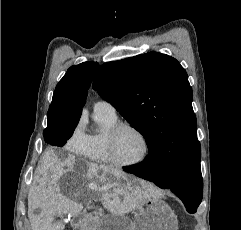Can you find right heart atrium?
<instances>
[{"instance_id": "obj_1", "label": "right heart atrium", "mask_w": 241, "mask_h": 230, "mask_svg": "<svg viewBox=\"0 0 241 230\" xmlns=\"http://www.w3.org/2000/svg\"><path fill=\"white\" fill-rule=\"evenodd\" d=\"M88 135L85 133L81 124H79L71 133L66 142V148L74 153H82L87 144Z\"/></svg>"}]
</instances>
